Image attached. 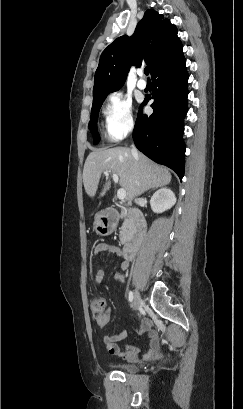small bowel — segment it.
<instances>
[{"label": "small bowel", "instance_id": "small-bowel-1", "mask_svg": "<svg viewBox=\"0 0 243 409\" xmlns=\"http://www.w3.org/2000/svg\"><path fill=\"white\" fill-rule=\"evenodd\" d=\"M103 254H112V255L121 257L122 251L119 247L115 245H111V244L103 243V244L96 245L93 249L94 258L98 261L100 256ZM120 267L123 270L128 269L129 267L128 261L124 260L121 263ZM113 278L119 283L125 282V275L120 272H116ZM103 279H104V270L100 265H98V268L94 275V281L95 283L99 284L103 281ZM103 302H104L103 308L94 312L95 323L99 328H102V329H104L108 323V317L106 313L107 304H106L105 299H103ZM138 332L140 334L147 333L150 339L149 347L143 355H141V350L138 347L126 345L123 348H121L116 344V341H119L125 338L126 336L125 331H120L114 335H104L103 342L106 346L107 351L110 354L115 355L117 357H121L127 362H137L139 360L151 361V360L162 359L165 356V351L161 350L160 348V336L158 332L152 328L151 321L148 319L144 320L140 324L138 328Z\"/></svg>", "mask_w": 243, "mask_h": 409}]
</instances>
